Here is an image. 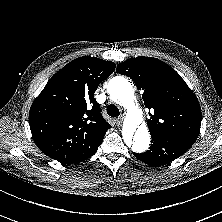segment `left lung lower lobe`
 <instances>
[{"label": "left lung lower lobe", "instance_id": "obj_1", "mask_svg": "<svg viewBox=\"0 0 222 222\" xmlns=\"http://www.w3.org/2000/svg\"><path fill=\"white\" fill-rule=\"evenodd\" d=\"M150 150L134 155L141 161L153 165H166L183 155L193 144L194 140L186 137L154 133L151 134Z\"/></svg>", "mask_w": 222, "mask_h": 222}]
</instances>
